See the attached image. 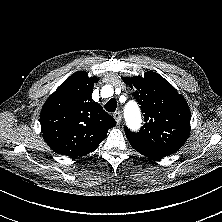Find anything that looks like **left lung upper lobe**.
I'll return each mask as SVG.
<instances>
[{"label":"left lung upper lobe","instance_id":"left-lung-upper-lobe-1","mask_svg":"<svg viewBox=\"0 0 222 222\" xmlns=\"http://www.w3.org/2000/svg\"><path fill=\"white\" fill-rule=\"evenodd\" d=\"M122 79L136 89L133 96L145 117V124L139 132L132 133L124 128L128 140L148 146L181 148L189 137L191 119L183 96L155 72H147L144 77Z\"/></svg>","mask_w":222,"mask_h":222}]
</instances>
